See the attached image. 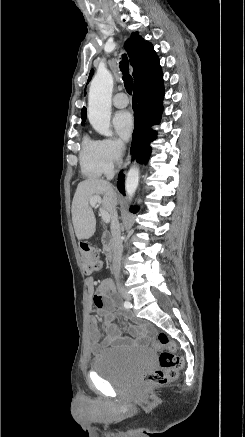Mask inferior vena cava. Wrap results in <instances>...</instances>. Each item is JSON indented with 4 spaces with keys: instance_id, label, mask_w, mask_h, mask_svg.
Listing matches in <instances>:
<instances>
[{
    "instance_id": "602c4592",
    "label": "inferior vena cava",
    "mask_w": 245,
    "mask_h": 437,
    "mask_svg": "<svg viewBox=\"0 0 245 437\" xmlns=\"http://www.w3.org/2000/svg\"><path fill=\"white\" fill-rule=\"evenodd\" d=\"M124 150V144L119 145V156H122V152ZM116 206V204H115ZM114 206V214L112 219V238L110 241V248L112 251V267L111 270L116 278V281H119L120 274V266H121V257L123 252V245L121 240V228L118 221V215L116 208Z\"/></svg>"
}]
</instances>
